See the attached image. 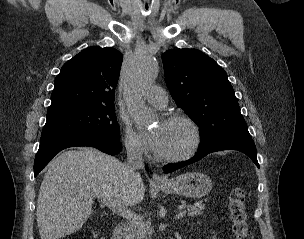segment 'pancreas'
I'll return each mask as SVG.
<instances>
[{
	"mask_svg": "<svg viewBox=\"0 0 304 239\" xmlns=\"http://www.w3.org/2000/svg\"><path fill=\"white\" fill-rule=\"evenodd\" d=\"M180 207L187 209L190 216L201 215L206 209L202 202H198L194 205L182 203ZM129 235L131 239H148L147 235H151L150 226L142 217H138L135 221L130 222Z\"/></svg>",
	"mask_w": 304,
	"mask_h": 239,
	"instance_id": "cf45deb5",
	"label": "pancreas"
}]
</instances>
